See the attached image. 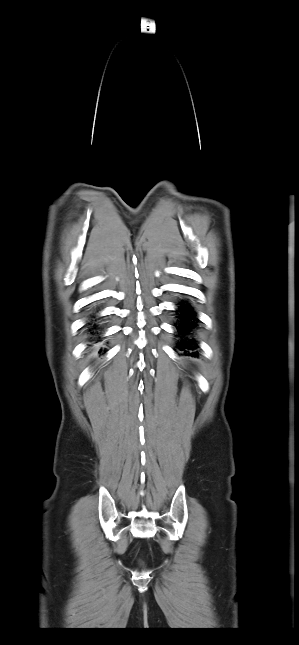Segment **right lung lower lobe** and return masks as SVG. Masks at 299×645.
Here are the masks:
<instances>
[{"label": "right lung lower lobe", "instance_id": "obj_1", "mask_svg": "<svg viewBox=\"0 0 299 645\" xmlns=\"http://www.w3.org/2000/svg\"><path fill=\"white\" fill-rule=\"evenodd\" d=\"M94 318H95V317H94ZM94 321H95V319L93 320V322H94ZM93 322H92V323H93ZM92 323H89V325H90V324H92ZM95 329H96V327H95L94 325H93V327L90 329V333H91V335H94V337H91V341L99 342V341H101V338H100V336H99L98 332H96V331H95Z\"/></svg>", "mask_w": 299, "mask_h": 645}]
</instances>
